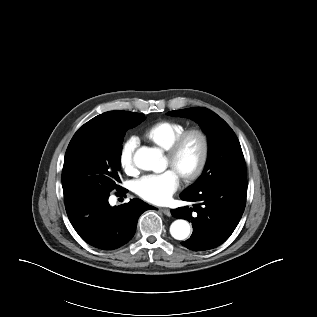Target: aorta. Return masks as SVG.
I'll list each match as a JSON object with an SVG mask.
<instances>
[{"instance_id":"1","label":"aorta","mask_w":317,"mask_h":317,"mask_svg":"<svg viewBox=\"0 0 317 317\" xmlns=\"http://www.w3.org/2000/svg\"><path fill=\"white\" fill-rule=\"evenodd\" d=\"M135 165L145 171L161 172L166 168V160L162 150L156 147L142 146L133 157ZM190 225L186 220L177 219L170 226V234L174 239L184 240L190 234Z\"/></svg>"}]
</instances>
